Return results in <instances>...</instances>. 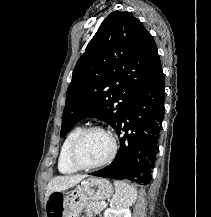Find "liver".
Here are the masks:
<instances>
[{
  "instance_id": "obj_1",
  "label": "liver",
  "mask_w": 211,
  "mask_h": 217,
  "mask_svg": "<svg viewBox=\"0 0 211 217\" xmlns=\"http://www.w3.org/2000/svg\"><path fill=\"white\" fill-rule=\"evenodd\" d=\"M86 175H69V176H57L53 178L47 186L45 195V201L49 200V197L54 192H62L77 185Z\"/></svg>"
}]
</instances>
